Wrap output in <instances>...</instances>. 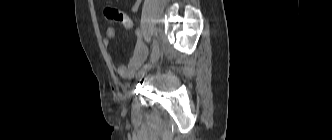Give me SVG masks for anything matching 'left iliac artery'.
Wrapping results in <instances>:
<instances>
[{
    "mask_svg": "<svg viewBox=\"0 0 332 140\" xmlns=\"http://www.w3.org/2000/svg\"><path fill=\"white\" fill-rule=\"evenodd\" d=\"M158 49H159L158 43H157V41L154 39V40H153V43H152L151 58H152V56L157 52Z\"/></svg>",
    "mask_w": 332,
    "mask_h": 140,
    "instance_id": "obj_1",
    "label": "left iliac artery"
}]
</instances>
